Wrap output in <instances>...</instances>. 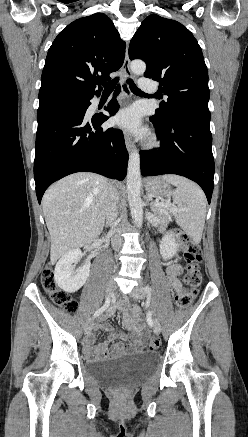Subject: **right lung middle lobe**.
Wrapping results in <instances>:
<instances>
[{"instance_id":"right-lung-middle-lobe-1","label":"right lung middle lobe","mask_w":248,"mask_h":437,"mask_svg":"<svg viewBox=\"0 0 248 437\" xmlns=\"http://www.w3.org/2000/svg\"><path fill=\"white\" fill-rule=\"evenodd\" d=\"M50 99H63V100L83 102L85 98H84V96H79V95H75V94H71V93H67V92H62V91H51V92H47V93H44L42 95H39L40 102H43L45 100H50Z\"/></svg>"}]
</instances>
